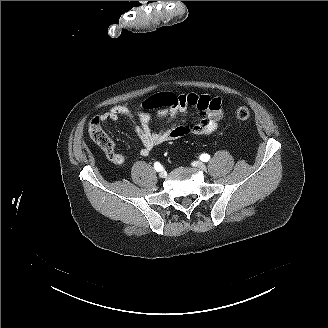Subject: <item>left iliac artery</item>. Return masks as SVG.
<instances>
[{
  "label": "left iliac artery",
  "instance_id": "1",
  "mask_svg": "<svg viewBox=\"0 0 328 328\" xmlns=\"http://www.w3.org/2000/svg\"><path fill=\"white\" fill-rule=\"evenodd\" d=\"M209 159H210V156L208 154L204 153L200 156V160L203 162H207Z\"/></svg>",
  "mask_w": 328,
  "mask_h": 328
}]
</instances>
